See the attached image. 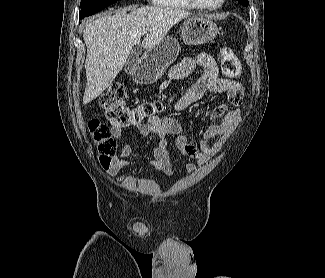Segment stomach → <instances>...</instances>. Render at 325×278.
<instances>
[{
  "mask_svg": "<svg viewBox=\"0 0 325 278\" xmlns=\"http://www.w3.org/2000/svg\"><path fill=\"white\" fill-rule=\"evenodd\" d=\"M217 34V25L202 15L189 17L182 25L181 37L187 45L207 43L212 41ZM179 50L180 45L176 38L165 37L160 43L146 51L142 63L134 69V80L140 84L156 82L174 62Z\"/></svg>",
  "mask_w": 325,
  "mask_h": 278,
  "instance_id": "obj_1",
  "label": "stomach"
}]
</instances>
